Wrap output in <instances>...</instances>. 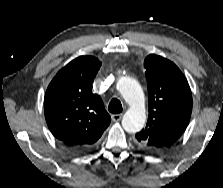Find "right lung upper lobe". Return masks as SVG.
Returning <instances> with one entry per match:
<instances>
[{"mask_svg":"<svg viewBox=\"0 0 223 188\" xmlns=\"http://www.w3.org/2000/svg\"><path fill=\"white\" fill-rule=\"evenodd\" d=\"M100 66L96 57L80 56L56 74L45 93L47 125L68 148L90 149L110 124L101 98L91 91Z\"/></svg>","mask_w":223,"mask_h":188,"instance_id":"cb5924a9","label":"right lung upper lobe"}]
</instances>
